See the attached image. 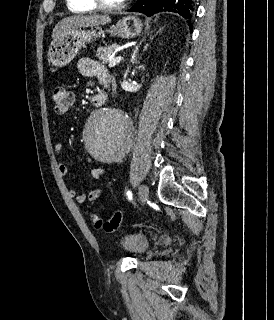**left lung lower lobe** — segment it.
<instances>
[{
	"label": "left lung lower lobe",
	"mask_w": 274,
	"mask_h": 320,
	"mask_svg": "<svg viewBox=\"0 0 274 320\" xmlns=\"http://www.w3.org/2000/svg\"><path fill=\"white\" fill-rule=\"evenodd\" d=\"M195 10L194 0H137L135 5L129 9L133 12H141L147 16L162 11L175 12L187 19L190 30H192L190 18Z\"/></svg>",
	"instance_id": "1"
}]
</instances>
